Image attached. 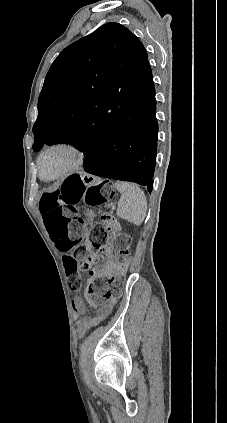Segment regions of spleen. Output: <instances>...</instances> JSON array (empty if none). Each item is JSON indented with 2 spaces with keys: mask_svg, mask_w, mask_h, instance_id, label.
<instances>
[{
  "mask_svg": "<svg viewBox=\"0 0 227 423\" xmlns=\"http://www.w3.org/2000/svg\"><path fill=\"white\" fill-rule=\"evenodd\" d=\"M115 186L116 190L121 192L116 211L117 215L132 221L135 225H140L147 210L144 192L138 188L137 184H129V182H116Z\"/></svg>",
  "mask_w": 227,
  "mask_h": 423,
  "instance_id": "obj_1",
  "label": "spleen"
}]
</instances>
